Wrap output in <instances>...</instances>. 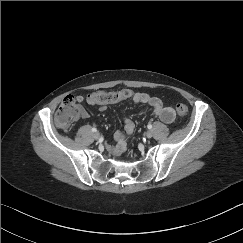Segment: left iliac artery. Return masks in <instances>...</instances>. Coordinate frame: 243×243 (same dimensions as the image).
I'll return each instance as SVG.
<instances>
[{
  "label": "left iliac artery",
  "instance_id": "left-iliac-artery-1",
  "mask_svg": "<svg viewBox=\"0 0 243 243\" xmlns=\"http://www.w3.org/2000/svg\"><path fill=\"white\" fill-rule=\"evenodd\" d=\"M147 128H148V129H152V125H151V124H148V125H147Z\"/></svg>",
  "mask_w": 243,
  "mask_h": 243
}]
</instances>
